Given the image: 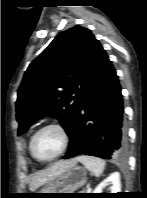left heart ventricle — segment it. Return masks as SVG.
Listing matches in <instances>:
<instances>
[{"mask_svg": "<svg viewBox=\"0 0 147 198\" xmlns=\"http://www.w3.org/2000/svg\"><path fill=\"white\" fill-rule=\"evenodd\" d=\"M62 146V137L58 130L50 128L40 132L33 144L35 154L41 159L54 156Z\"/></svg>", "mask_w": 147, "mask_h": 198, "instance_id": "b2bd125f", "label": "left heart ventricle"}]
</instances>
